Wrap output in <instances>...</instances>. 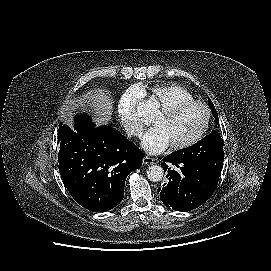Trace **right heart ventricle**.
I'll return each instance as SVG.
<instances>
[{
  "instance_id": "right-heart-ventricle-1",
  "label": "right heart ventricle",
  "mask_w": 271,
  "mask_h": 271,
  "mask_svg": "<svg viewBox=\"0 0 271 271\" xmlns=\"http://www.w3.org/2000/svg\"><path fill=\"white\" fill-rule=\"evenodd\" d=\"M149 93V99L159 109L175 103L194 100L193 96L186 89L174 84L153 86L149 88Z\"/></svg>"
}]
</instances>
